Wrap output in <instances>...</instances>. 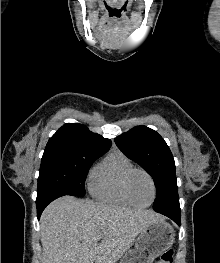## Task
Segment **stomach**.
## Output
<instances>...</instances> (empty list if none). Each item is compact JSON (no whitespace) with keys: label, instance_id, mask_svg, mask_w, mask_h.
Instances as JSON below:
<instances>
[{"label":"stomach","instance_id":"0dacf381","mask_svg":"<svg viewBox=\"0 0 220 263\" xmlns=\"http://www.w3.org/2000/svg\"><path fill=\"white\" fill-rule=\"evenodd\" d=\"M174 238V228L163 218L159 219L142 230L135 248L126 252L120 263H153L172 246Z\"/></svg>","mask_w":220,"mask_h":263}]
</instances>
